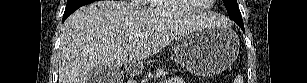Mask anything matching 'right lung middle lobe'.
Masks as SVG:
<instances>
[{
	"instance_id": "right-lung-middle-lobe-1",
	"label": "right lung middle lobe",
	"mask_w": 307,
	"mask_h": 83,
	"mask_svg": "<svg viewBox=\"0 0 307 83\" xmlns=\"http://www.w3.org/2000/svg\"><path fill=\"white\" fill-rule=\"evenodd\" d=\"M92 2H94V0H68L65 10H69L71 8H76V7H81L83 5H87Z\"/></svg>"
}]
</instances>
